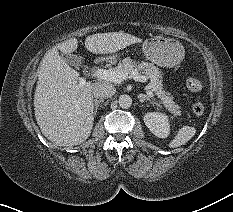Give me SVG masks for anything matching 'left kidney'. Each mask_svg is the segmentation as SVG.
<instances>
[{
  "label": "left kidney",
  "mask_w": 233,
  "mask_h": 212,
  "mask_svg": "<svg viewBox=\"0 0 233 212\" xmlns=\"http://www.w3.org/2000/svg\"><path fill=\"white\" fill-rule=\"evenodd\" d=\"M144 123L159 138H166L170 134V122L166 114L160 112L146 113Z\"/></svg>",
  "instance_id": "left-kidney-1"
}]
</instances>
